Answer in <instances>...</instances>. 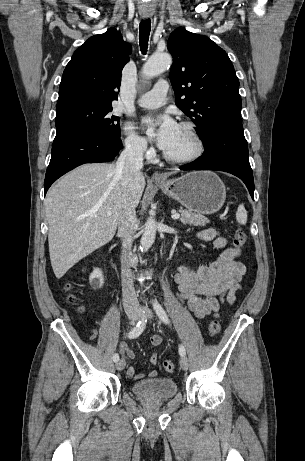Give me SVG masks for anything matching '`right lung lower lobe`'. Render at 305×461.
I'll use <instances>...</instances> for the list:
<instances>
[{
  "label": "right lung lower lobe",
  "instance_id": "1",
  "mask_svg": "<svg viewBox=\"0 0 305 461\" xmlns=\"http://www.w3.org/2000/svg\"><path fill=\"white\" fill-rule=\"evenodd\" d=\"M123 148L120 139L86 132H62L53 141L44 189L59 177L84 163L109 162Z\"/></svg>",
  "mask_w": 305,
  "mask_h": 461
}]
</instances>
